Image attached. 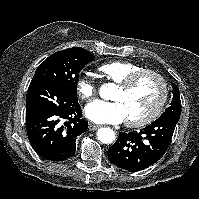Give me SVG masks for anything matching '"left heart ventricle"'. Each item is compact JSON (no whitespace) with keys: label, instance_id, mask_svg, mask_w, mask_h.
<instances>
[{"label":"left heart ventricle","instance_id":"left-heart-ventricle-1","mask_svg":"<svg viewBox=\"0 0 199 199\" xmlns=\"http://www.w3.org/2000/svg\"><path fill=\"white\" fill-rule=\"evenodd\" d=\"M161 94L159 81L153 76L143 77L130 90L116 88L112 99L120 101L125 108L127 119L146 116L154 108Z\"/></svg>","mask_w":199,"mask_h":199}]
</instances>
